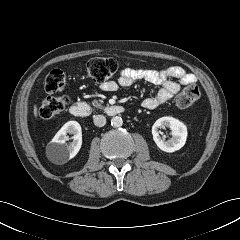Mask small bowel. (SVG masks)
<instances>
[{"label":"small bowel","instance_id":"c3829d8e","mask_svg":"<svg viewBox=\"0 0 240 240\" xmlns=\"http://www.w3.org/2000/svg\"><path fill=\"white\" fill-rule=\"evenodd\" d=\"M138 80L159 86L156 95L148 97L142 102V107L148 110L155 109L171 100L179 93L181 86H188L197 82L194 74L187 72L180 66H171L162 70L125 68L121 71L117 80L104 82L101 85V90L112 92L120 87H130Z\"/></svg>","mask_w":240,"mask_h":240}]
</instances>
